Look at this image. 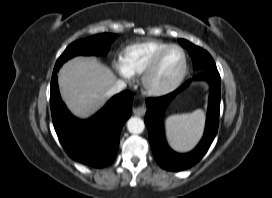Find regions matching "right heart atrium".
Here are the masks:
<instances>
[{
    "label": "right heart atrium",
    "instance_id": "right-heart-atrium-1",
    "mask_svg": "<svg viewBox=\"0 0 272 198\" xmlns=\"http://www.w3.org/2000/svg\"><path fill=\"white\" fill-rule=\"evenodd\" d=\"M116 69L118 71V73L124 77L125 79H131L132 75L124 68V66L122 65L121 62H118L116 64Z\"/></svg>",
    "mask_w": 272,
    "mask_h": 198
}]
</instances>
